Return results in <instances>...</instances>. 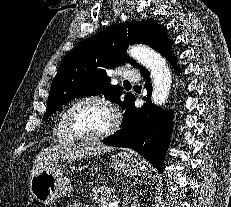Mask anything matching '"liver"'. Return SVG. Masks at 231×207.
<instances>
[{"label": "liver", "instance_id": "liver-1", "mask_svg": "<svg viewBox=\"0 0 231 207\" xmlns=\"http://www.w3.org/2000/svg\"><path fill=\"white\" fill-rule=\"evenodd\" d=\"M112 147L97 144H72L43 150L35 159L32 175L37 171L54 166L61 160L86 158L100 153L110 152Z\"/></svg>", "mask_w": 231, "mask_h": 207}]
</instances>
